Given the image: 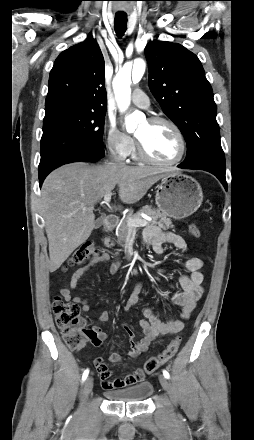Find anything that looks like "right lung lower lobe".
<instances>
[{"label":"right lung lower lobe","instance_id":"right-lung-lower-lobe-1","mask_svg":"<svg viewBox=\"0 0 254 440\" xmlns=\"http://www.w3.org/2000/svg\"><path fill=\"white\" fill-rule=\"evenodd\" d=\"M97 160H98V159H82V158H79V159L72 160V161H69V162H64L62 165L66 164V163L77 162V161L95 162V161H97ZM60 166H61V165H60ZM51 171H52V170H50L49 172H47L45 175L39 177V184H40V187H41V185H42L44 179L46 178V176H47Z\"/></svg>","mask_w":254,"mask_h":440}]
</instances>
